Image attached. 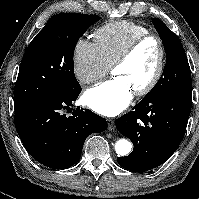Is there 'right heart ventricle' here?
<instances>
[{"label":"right heart ventricle","mask_w":199,"mask_h":199,"mask_svg":"<svg viewBox=\"0 0 199 199\" xmlns=\"http://www.w3.org/2000/svg\"><path fill=\"white\" fill-rule=\"evenodd\" d=\"M149 30L132 21H115L102 25L95 33V43L108 66H112L118 56L137 37Z\"/></svg>","instance_id":"right-heart-ventricle-1"}]
</instances>
